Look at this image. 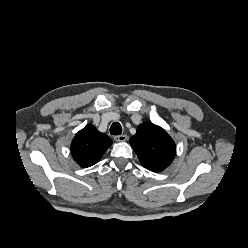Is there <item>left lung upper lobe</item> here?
<instances>
[{
    "mask_svg": "<svg viewBox=\"0 0 248 248\" xmlns=\"http://www.w3.org/2000/svg\"><path fill=\"white\" fill-rule=\"evenodd\" d=\"M130 144L141 164L148 170L160 172L168 167L176 154L173 139L161 127L144 122L130 138Z\"/></svg>",
    "mask_w": 248,
    "mask_h": 248,
    "instance_id": "5c2ea615",
    "label": "left lung upper lobe"
}]
</instances>
